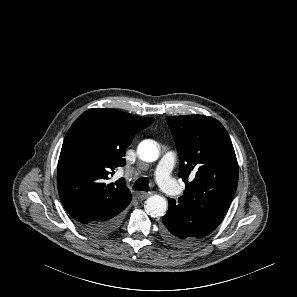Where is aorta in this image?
Returning <instances> with one entry per match:
<instances>
[{
  "instance_id": "obj_1",
  "label": "aorta",
  "mask_w": 297,
  "mask_h": 297,
  "mask_svg": "<svg viewBox=\"0 0 297 297\" xmlns=\"http://www.w3.org/2000/svg\"><path fill=\"white\" fill-rule=\"evenodd\" d=\"M137 153L141 160L145 162H154L159 157V150L156 143L152 140L142 141L137 148ZM167 210V201L159 195L151 196L146 201V212L151 217H160L165 215Z\"/></svg>"
}]
</instances>
